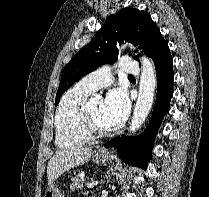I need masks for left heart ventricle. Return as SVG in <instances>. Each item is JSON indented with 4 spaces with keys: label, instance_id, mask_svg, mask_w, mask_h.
<instances>
[{
    "label": "left heart ventricle",
    "instance_id": "left-heart-ventricle-1",
    "mask_svg": "<svg viewBox=\"0 0 209 197\" xmlns=\"http://www.w3.org/2000/svg\"><path fill=\"white\" fill-rule=\"evenodd\" d=\"M102 101H95L88 105L89 113L98 128L108 129L109 127L103 122L101 117Z\"/></svg>",
    "mask_w": 209,
    "mask_h": 197
}]
</instances>
